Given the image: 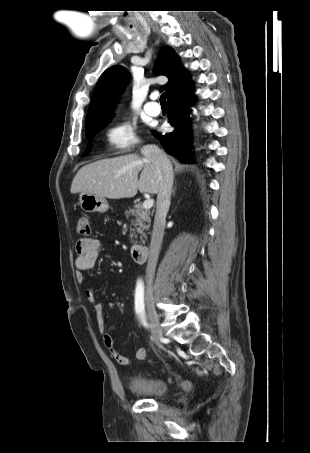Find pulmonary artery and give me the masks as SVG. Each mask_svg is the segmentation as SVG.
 <instances>
[{
  "label": "pulmonary artery",
  "mask_w": 310,
  "mask_h": 453,
  "mask_svg": "<svg viewBox=\"0 0 310 453\" xmlns=\"http://www.w3.org/2000/svg\"><path fill=\"white\" fill-rule=\"evenodd\" d=\"M156 98V95H152L151 96V99H155ZM144 110L147 114L151 115V116H157L160 114V107L156 104H154L153 102H148L144 105Z\"/></svg>",
  "instance_id": "pulmonary-artery-1"
}]
</instances>
